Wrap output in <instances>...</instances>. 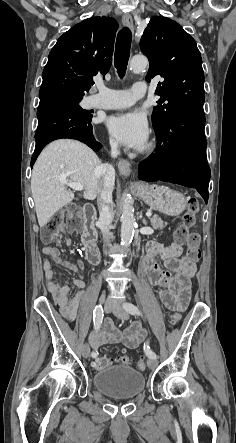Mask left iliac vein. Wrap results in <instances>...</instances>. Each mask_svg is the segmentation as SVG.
Wrapping results in <instances>:
<instances>
[{"label": "left iliac vein", "mask_w": 236, "mask_h": 443, "mask_svg": "<svg viewBox=\"0 0 236 443\" xmlns=\"http://www.w3.org/2000/svg\"><path fill=\"white\" fill-rule=\"evenodd\" d=\"M111 310L112 313L120 319L127 320L129 318L128 313L120 305H114ZM147 364L150 369H155L158 366V361L154 358H150Z\"/></svg>", "instance_id": "obj_1"}]
</instances>
